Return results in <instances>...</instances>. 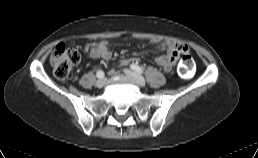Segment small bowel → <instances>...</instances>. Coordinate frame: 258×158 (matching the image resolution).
Segmentation results:
<instances>
[{"mask_svg": "<svg viewBox=\"0 0 258 158\" xmlns=\"http://www.w3.org/2000/svg\"><path fill=\"white\" fill-rule=\"evenodd\" d=\"M155 48L164 51L163 54L156 57V63L161 66L164 71L169 72L177 63L180 55L188 52V47L183 42H178L172 39L164 41H153ZM89 49V55L93 59H103L109 60L112 56L111 51L109 50L108 43L106 41H100L91 43L87 46ZM139 58H127L121 61V64H130L137 63ZM112 73H115L116 70L112 69Z\"/></svg>", "mask_w": 258, "mask_h": 158, "instance_id": "1", "label": "small bowel"}]
</instances>
